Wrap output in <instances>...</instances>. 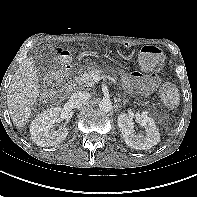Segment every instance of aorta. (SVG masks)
Wrapping results in <instances>:
<instances>
[{"instance_id": "762f6f07", "label": "aorta", "mask_w": 197, "mask_h": 197, "mask_svg": "<svg viewBox=\"0 0 197 197\" xmlns=\"http://www.w3.org/2000/svg\"><path fill=\"white\" fill-rule=\"evenodd\" d=\"M99 109L103 112H110L112 110V102L110 99H103L98 104Z\"/></svg>"}]
</instances>
